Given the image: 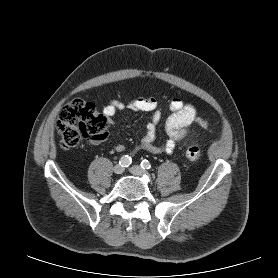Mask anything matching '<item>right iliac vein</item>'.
Returning a JSON list of instances; mask_svg holds the SVG:
<instances>
[{
	"label": "right iliac vein",
	"instance_id": "63e3f726",
	"mask_svg": "<svg viewBox=\"0 0 278 278\" xmlns=\"http://www.w3.org/2000/svg\"><path fill=\"white\" fill-rule=\"evenodd\" d=\"M113 171L115 174H122L124 171V168L120 164H117L114 166Z\"/></svg>",
	"mask_w": 278,
	"mask_h": 278
}]
</instances>
